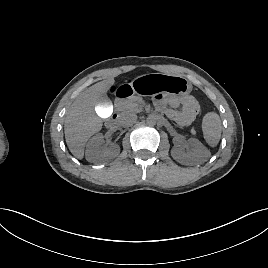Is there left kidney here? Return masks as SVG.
Returning <instances> with one entry per match:
<instances>
[{"label": "left kidney", "instance_id": "1", "mask_svg": "<svg viewBox=\"0 0 268 268\" xmlns=\"http://www.w3.org/2000/svg\"><path fill=\"white\" fill-rule=\"evenodd\" d=\"M171 155L178 162L196 164L206 161L210 153L199 140L190 138L188 141L176 139Z\"/></svg>", "mask_w": 268, "mask_h": 268}]
</instances>
